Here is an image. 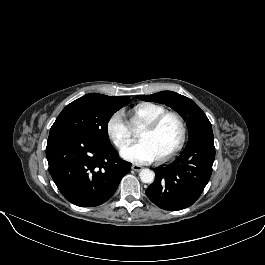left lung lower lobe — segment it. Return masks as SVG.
I'll return each mask as SVG.
<instances>
[{
	"label": "left lung lower lobe",
	"instance_id": "obj_1",
	"mask_svg": "<svg viewBox=\"0 0 265 265\" xmlns=\"http://www.w3.org/2000/svg\"><path fill=\"white\" fill-rule=\"evenodd\" d=\"M215 159L211 127L189 136L184 150L170 164L154 169L155 180L147 188L148 198L164 210L191 206L207 185Z\"/></svg>",
	"mask_w": 265,
	"mask_h": 265
}]
</instances>
